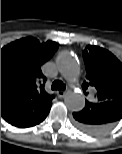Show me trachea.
<instances>
[{
    "label": "trachea",
    "instance_id": "1",
    "mask_svg": "<svg viewBox=\"0 0 122 154\" xmlns=\"http://www.w3.org/2000/svg\"><path fill=\"white\" fill-rule=\"evenodd\" d=\"M52 90H65L66 86L62 81L55 80L51 86Z\"/></svg>",
    "mask_w": 122,
    "mask_h": 154
}]
</instances>
